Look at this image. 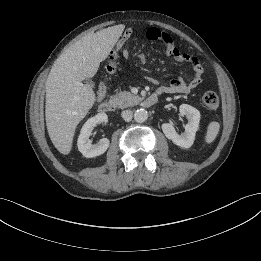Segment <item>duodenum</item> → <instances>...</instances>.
Instances as JSON below:
<instances>
[{
	"instance_id": "1",
	"label": "duodenum",
	"mask_w": 261,
	"mask_h": 261,
	"mask_svg": "<svg viewBox=\"0 0 261 261\" xmlns=\"http://www.w3.org/2000/svg\"><path fill=\"white\" fill-rule=\"evenodd\" d=\"M158 99H159V92L153 93V94L149 95L148 97H146L143 100L142 104L144 107H151L158 102ZM115 108H116V106H115L114 102H112L110 100H105L100 104L99 111L101 113H110V112H113L115 110Z\"/></svg>"
}]
</instances>
